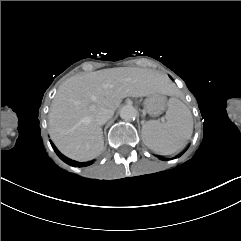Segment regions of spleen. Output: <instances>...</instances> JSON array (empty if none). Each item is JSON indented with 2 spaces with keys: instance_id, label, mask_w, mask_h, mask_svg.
<instances>
[{
  "instance_id": "1",
  "label": "spleen",
  "mask_w": 241,
  "mask_h": 241,
  "mask_svg": "<svg viewBox=\"0 0 241 241\" xmlns=\"http://www.w3.org/2000/svg\"><path fill=\"white\" fill-rule=\"evenodd\" d=\"M166 119V123L150 120L142 125L144 144L160 155L179 153L193 132L191 111L177 98L169 99Z\"/></svg>"
}]
</instances>
